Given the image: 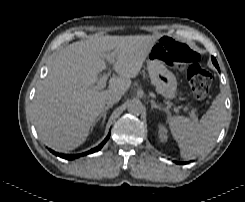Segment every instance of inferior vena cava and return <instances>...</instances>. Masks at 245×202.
<instances>
[{
  "label": "inferior vena cava",
  "mask_w": 245,
  "mask_h": 202,
  "mask_svg": "<svg viewBox=\"0 0 245 202\" xmlns=\"http://www.w3.org/2000/svg\"><path fill=\"white\" fill-rule=\"evenodd\" d=\"M123 93L121 91L115 90V91H110L105 99V102L108 105H113L114 103H117L121 97H122Z\"/></svg>",
  "instance_id": "602c4592"
}]
</instances>
